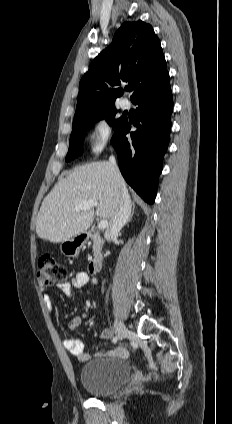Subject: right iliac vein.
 <instances>
[{
	"mask_svg": "<svg viewBox=\"0 0 232 424\" xmlns=\"http://www.w3.org/2000/svg\"><path fill=\"white\" fill-rule=\"evenodd\" d=\"M114 327H115V331L117 333L118 338L121 340L124 339L129 333L125 324L119 319L115 320Z\"/></svg>",
	"mask_w": 232,
	"mask_h": 424,
	"instance_id": "1",
	"label": "right iliac vein"
}]
</instances>
